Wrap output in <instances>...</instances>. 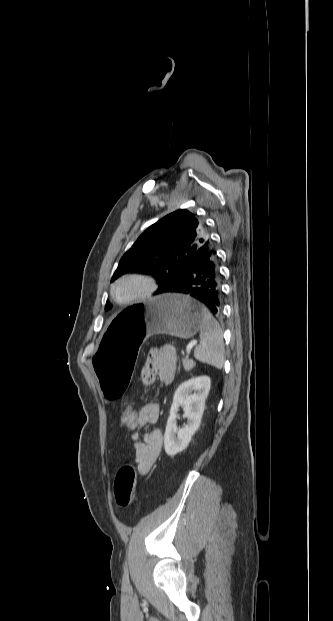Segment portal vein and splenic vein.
Wrapping results in <instances>:
<instances>
[{
  "instance_id": "obj_1",
  "label": "portal vein and splenic vein",
  "mask_w": 333,
  "mask_h": 621,
  "mask_svg": "<svg viewBox=\"0 0 333 621\" xmlns=\"http://www.w3.org/2000/svg\"><path fill=\"white\" fill-rule=\"evenodd\" d=\"M197 343H198V341H197V340L192 341V342H191V343L187 346V348H186V353H187V354H189V353L191 352L192 348H193L195 345H197Z\"/></svg>"
}]
</instances>
